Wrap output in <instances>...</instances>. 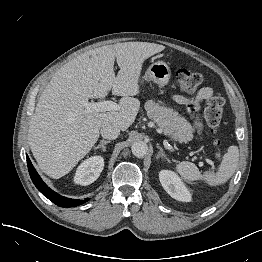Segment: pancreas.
I'll use <instances>...</instances> for the list:
<instances>
[{
    "instance_id": "obj_1",
    "label": "pancreas",
    "mask_w": 262,
    "mask_h": 262,
    "mask_svg": "<svg viewBox=\"0 0 262 262\" xmlns=\"http://www.w3.org/2000/svg\"><path fill=\"white\" fill-rule=\"evenodd\" d=\"M144 107L148 117L153 119L164 133L173 134V137L180 141H187L191 136V133H188L191 132V125L186 119L174 115L171 109L160 106L153 100H148Z\"/></svg>"
}]
</instances>
